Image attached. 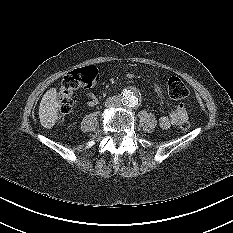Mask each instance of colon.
I'll use <instances>...</instances> for the list:
<instances>
[{
    "instance_id": "colon-1",
    "label": "colon",
    "mask_w": 233,
    "mask_h": 233,
    "mask_svg": "<svg viewBox=\"0 0 233 233\" xmlns=\"http://www.w3.org/2000/svg\"><path fill=\"white\" fill-rule=\"evenodd\" d=\"M99 79V70L93 65L75 69L63 77L61 88L58 93V119L60 121L72 110L73 93L80 88L93 87ZM167 89L170 97L175 100L186 99L190 94L186 84L180 78L175 76L168 79ZM180 128L183 131L188 130L190 128L188 120H183L180 123Z\"/></svg>"
}]
</instances>
